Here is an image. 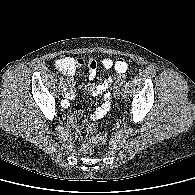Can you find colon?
<instances>
[{
    "label": "colon",
    "instance_id": "obj_1",
    "mask_svg": "<svg viewBox=\"0 0 195 195\" xmlns=\"http://www.w3.org/2000/svg\"><path fill=\"white\" fill-rule=\"evenodd\" d=\"M68 62L66 59H60L57 61V66L59 67H66ZM124 80L122 75H119L115 81L113 86V94L117 98L120 94V86ZM76 139L79 141L89 143H104L107 139L106 134L99 135L97 134L96 126L93 123L86 122V126H77L74 131Z\"/></svg>",
    "mask_w": 195,
    "mask_h": 195
}]
</instances>
